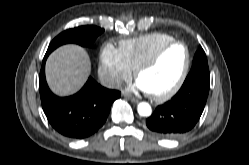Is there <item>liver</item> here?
<instances>
[{
    "label": "liver",
    "mask_w": 249,
    "mask_h": 165,
    "mask_svg": "<svg viewBox=\"0 0 249 165\" xmlns=\"http://www.w3.org/2000/svg\"><path fill=\"white\" fill-rule=\"evenodd\" d=\"M91 71L87 52L78 45L68 44L56 49L46 62V79L53 93L68 96L77 92Z\"/></svg>",
    "instance_id": "6515ba94"
}]
</instances>
